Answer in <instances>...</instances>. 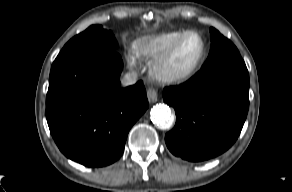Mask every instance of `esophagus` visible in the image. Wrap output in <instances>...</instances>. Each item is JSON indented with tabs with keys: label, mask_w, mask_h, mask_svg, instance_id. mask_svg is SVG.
<instances>
[{
	"label": "esophagus",
	"mask_w": 292,
	"mask_h": 192,
	"mask_svg": "<svg viewBox=\"0 0 292 192\" xmlns=\"http://www.w3.org/2000/svg\"><path fill=\"white\" fill-rule=\"evenodd\" d=\"M147 98L150 103H155L158 101V92L154 88H149L147 90Z\"/></svg>",
	"instance_id": "esophagus-1"
}]
</instances>
